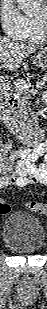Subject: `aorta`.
Wrapping results in <instances>:
<instances>
[{
  "label": "aorta",
  "instance_id": "762f6f07",
  "mask_svg": "<svg viewBox=\"0 0 47 309\" xmlns=\"http://www.w3.org/2000/svg\"><path fill=\"white\" fill-rule=\"evenodd\" d=\"M16 2L25 15L29 16L36 11L33 0H16Z\"/></svg>",
  "mask_w": 47,
  "mask_h": 309
}]
</instances>
